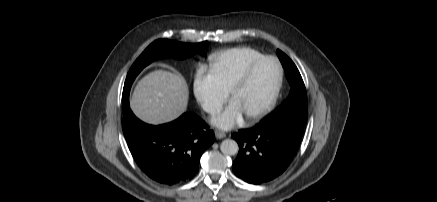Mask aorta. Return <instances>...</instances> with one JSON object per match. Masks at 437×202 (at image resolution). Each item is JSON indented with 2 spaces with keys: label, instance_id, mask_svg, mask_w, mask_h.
Wrapping results in <instances>:
<instances>
[{
  "label": "aorta",
  "instance_id": "1",
  "mask_svg": "<svg viewBox=\"0 0 437 202\" xmlns=\"http://www.w3.org/2000/svg\"><path fill=\"white\" fill-rule=\"evenodd\" d=\"M220 150L226 155H235L238 152L239 147L235 140L225 139L220 145Z\"/></svg>",
  "mask_w": 437,
  "mask_h": 202
}]
</instances>
